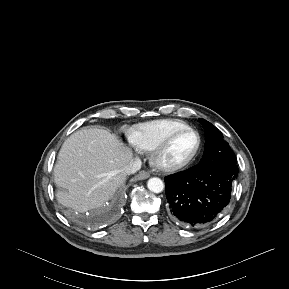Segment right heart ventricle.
I'll list each match as a JSON object with an SVG mask.
<instances>
[{
	"label": "right heart ventricle",
	"instance_id": "e07e8e85",
	"mask_svg": "<svg viewBox=\"0 0 289 289\" xmlns=\"http://www.w3.org/2000/svg\"><path fill=\"white\" fill-rule=\"evenodd\" d=\"M189 127L177 119H160L138 125L131 135L132 145L140 151H152L172 132Z\"/></svg>",
	"mask_w": 289,
	"mask_h": 289
}]
</instances>
